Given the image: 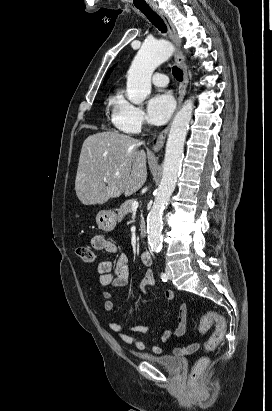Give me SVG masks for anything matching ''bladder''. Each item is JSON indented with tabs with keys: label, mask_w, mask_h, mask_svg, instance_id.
I'll return each instance as SVG.
<instances>
[{
	"label": "bladder",
	"mask_w": 272,
	"mask_h": 411,
	"mask_svg": "<svg viewBox=\"0 0 272 411\" xmlns=\"http://www.w3.org/2000/svg\"><path fill=\"white\" fill-rule=\"evenodd\" d=\"M140 357L155 366L171 372L179 371L183 365V359L175 355L142 354Z\"/></svg>",
	"instance_id": "31cf9c89"
}]
</instances>
